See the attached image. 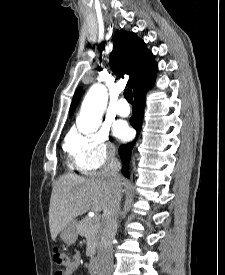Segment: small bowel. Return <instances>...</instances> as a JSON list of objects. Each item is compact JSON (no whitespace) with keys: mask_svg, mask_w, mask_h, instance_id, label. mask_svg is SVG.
I'll return each instance as SVG.
<instances>
[{"mask_svg":"<svg viewBox=\"0 0 225 275\" xmlns=\"http://www.w3.org/2000/svg\"><path fill=\"white\" fill-rule=\"evenodd\" d=\"M80 261H81V255L80 253L76 252L73 255V258L70 264L67 265L64 270L58 271L56 275H75L79 269Z\"/></svg>","mask_w":225,"mask_h":275,"instance_id":"obj_1","label":"small bowel"}]
</instances>
